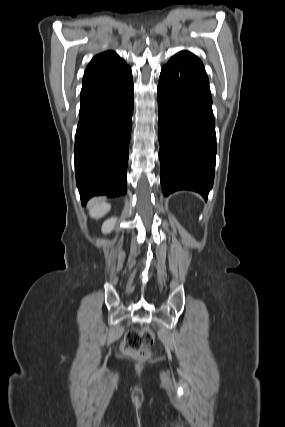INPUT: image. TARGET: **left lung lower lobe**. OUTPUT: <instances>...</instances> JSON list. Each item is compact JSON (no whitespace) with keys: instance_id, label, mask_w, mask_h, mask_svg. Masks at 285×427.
<instances>
[{"instance_id":"1","label":"left lung lower lobe","mask_w":285,"mask_h":427,"mask_svg":"<svg viewBox=\"0 0 285 427\" xmlns=\"http://www.w3.org/2000/svg\"><path fill=\"white\" fill-rule=\"evenodd\" d=\"M158 113L164 195L187 189L207 199L214 181L215 121L208 77L194 54L181 51L163 67Z\"/></svg>"}]
</instances>
